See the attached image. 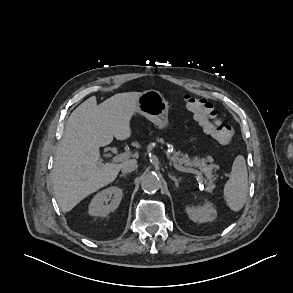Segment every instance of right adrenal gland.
Wrapping results in <instances>:
<instances>
[{"instance_id": "obj_1", "label": "right adrenal gland", "mask_w": 293, "mask_h": 293, "mask_svg": "<svg viewBox=\"0 0 293 293\" xmlns=\"http://www.w3.org/2000/svg\"><path fill=\"white\" fill-rule=\"evenodd\" d=\"M120 177H126V175L125 174H121Z\"/></svg>"}]
</instances>
